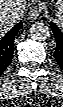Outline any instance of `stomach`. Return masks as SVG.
<instances>
[{"mask_svg":"<svg viewBox=\"0 0 63 107\" xmlns=\"http://www.w3.org/2000/svg\"><path fill=\"white\" fill-rule=\"evenodd\" d=\"M56 20L60 25H63V4L62 2H58V8L56 11Z\"/></svg>","mask_w":63,"mask_h":107,"instance_id":"0dacf381","label":"stomach"}]
</instances>
